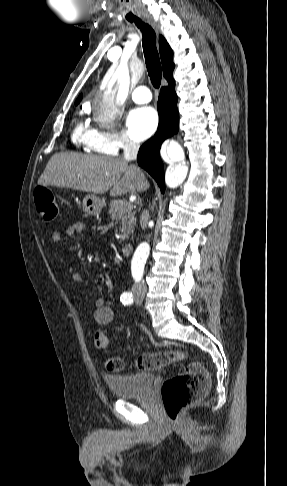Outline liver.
Returning <instances> with one entry per match:
<instances>
[{
  "mask_svg": "<svg viewBox=\"0 0 287 486\" xmlns=\"http://www.w3.org/2000/svg\"><path fill=\"white\" fill-rule=\"evenodd\" d=\"M42 186L72 188L111 196L146 190L149 183L144 173L124 158L56 153L38 179Z\"/></svg>",
  "mask_w": 287,
  "mask_h": 486,
  "instance_id": "1",
  "label": "liver"
}]
</instances>
